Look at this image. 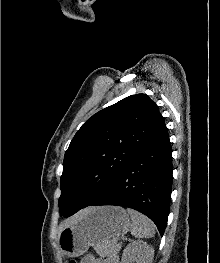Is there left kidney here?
<instances>
[{
	"mask_svg": "<svg viewBox=\"0 0 220 263\" xmlns=\"http://www.w3.org/2000/svg\"><path fill=\"white\" fill-rule=\"evenodd\" d=\"M153 257L152 246L142 241H134L125 248L121 263H152Z\"/></svg>",
	"mask_w": 220,
	"mask_h": 263,
	"instance_id": "5707ae66",
	"label": "left kidney"
}]
</instances>
